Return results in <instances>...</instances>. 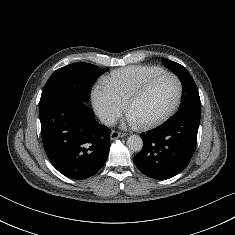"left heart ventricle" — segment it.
Masks as SVG:
<instances>
[{
  "label": "left heart ventricle",
  "mask_w": 235,
  "mask_h": 235,
  "mask_svg": "<svg viewBox=\"0 0 235 235\" xmlns=\"http://www.w3.org/2000/svg\"><path fill=\"white\" fill-rule=\"evenodd\" d=\"M177 95V84L171 77L158 79L147 93L130 108L129 114L138 124L152 121L163 115L173 104Z\"/></svg>",
  "instance_id": "left-heart-ventricle-1"
}]
</instances>
